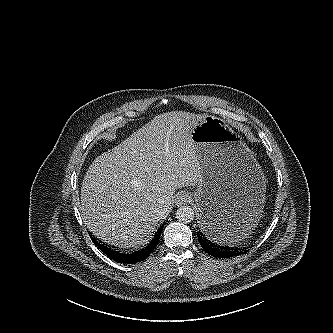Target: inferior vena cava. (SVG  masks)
Listing matches in <instances>:
<instances>
[{"instance_id":"obj_1","label":"inferior vena cava","mask_w":333,"mask_h":333,"mask_svg":"<svg viewBox=\"0 0 333 333\" xmlns=\"http://www.w3.org/2000/svg\"><path fill=\"white\" fill-rule=\"evenodd\" d=\"M160 210H161L162 213H165L167 209L165 207H161Z\"/></svg>"}]
</instances>
